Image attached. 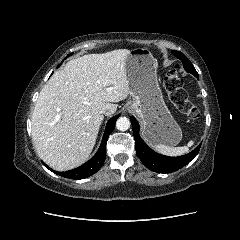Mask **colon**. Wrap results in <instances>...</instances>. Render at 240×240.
Returning a JSON list of instances; mask_svg holds the SVG:
<instances>
[{
  "instance_id": "obj_1",
  "label": "colon",
  "mask_w": 240,
  "mask_h": 240,
  "mask_svg": "<svg viewBox=\"0 0 240 240\" xmlns=\"http://www.w3.org/2000/svg\"><path fill=\"white\" fill-rule=\"evenodd\" d=\"M164 87L169 95L171 102L185 116L196 119L199 117L198 108L190 102L188 95L183 88L182 79L177 68L170 69L164 78Z\"/></svg>"
}]
</instances>
